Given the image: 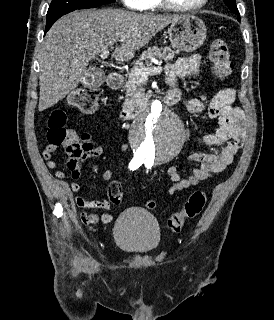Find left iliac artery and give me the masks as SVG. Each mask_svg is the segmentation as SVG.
I'll return each mask as SVG.
<instances>
[{
	"label": "left iliac artery",
	"mask_w": 274,
	"mask_h": 320,
	"mask_svg": "<svg viewBox=\"0 0 274 320\" xmlns=\"http://www.w3.org/2000/svg\"><path fill=\"white\" fill-rule=\"evenodd\" d=\"M144 163H145L146 168H148V169H150L153 165V162H150L148 160H145Z\"/></svg>",
	"instance_id": "44dca946"
}]
</instances>
